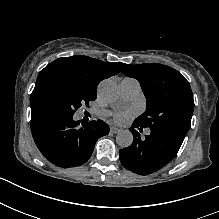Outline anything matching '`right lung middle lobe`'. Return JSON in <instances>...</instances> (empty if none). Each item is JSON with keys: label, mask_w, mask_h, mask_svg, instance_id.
<instances>
[{"label": "right lung middle lobe", "mask_w": 219, "mask_h": 219, "mask_svg": "<svg viewBox=\"0 0 219 219\" xmlns=\"http://www.w3.org/2000/svg\"><path fill=\"white\" fill-rule=\"evenodd\" d=\"M96 99L94 90L88 88L79 78L58 69L40 72L30 96V105L51 106L74 115L83 104Z\"/></svg>", "instance_id": "1"}]
</instances>
